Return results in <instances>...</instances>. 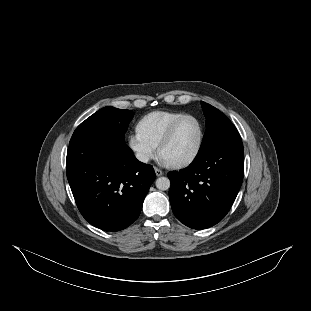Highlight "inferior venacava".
<instances>
[{"instance_id":"obj_1","label":"inferior vena cava","mask_w":311,"mask_h":311,"mask_svg":"<svg viewBox=\"0 0 311 311\" xmlns=\"http://www.w3.org/2000/svg\"><path fill=\"white\" fill-rule=\"evenodd\" d=\"M136 158L143 163H147L149 161V157L145 154L137 153Z\"/></svg>"}]
</instances>
